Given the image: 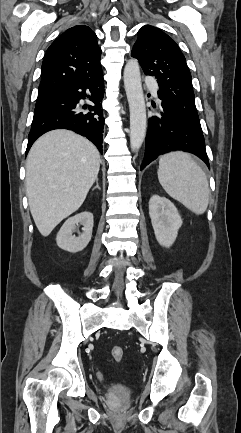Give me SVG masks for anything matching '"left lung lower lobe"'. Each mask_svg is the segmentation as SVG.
I'll use <instances>...</instances> for the list:
<instances>
[{"label": "left lung lower lobe", "instance_id": "obj_1", "mask_svg": "<svg viewBox=\"0 0 241 433\" xmlns=\"http://www.w3.org/2000/svg\"><path fill=\"white\" fill-rule=\"evenodd\" d=\"M161 99L156 115L148 120L145 154L140 169L159 155L183 150L197 155L209 166L202 131L191 125L175 108ZM155 107V105H153Z\"/></svg>", "mask_w": 241, "mask_h": 433}]
</instances>
